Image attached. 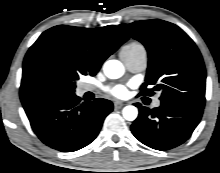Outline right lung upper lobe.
<instances>
[{
  "mask_svg": "<svg viewBox=\"0 0 220 173\" xmlns=\"http://www.w3.org/2000/svg\"><path fill=\"white\" fill-rule=\"evenodd\" d=\"M128 36L117 26L83 28L59 25L41 34L23 62L22 104L53 90L70 75L94 76Z\"/></svg>",
  "mask_w": 220,
  "mask_h": 173,
  "instance_id": "1",
  "label": "right lung upper lobe"
}]
</instances>
